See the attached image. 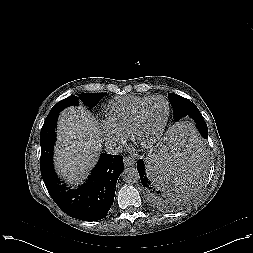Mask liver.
<instances>
[{"instance_id": "6515ba94", "label": "liver", "mask_w": 253, "mask_h": 253, "mask_svg": "<svg viewBox=\"0 0 253 253\" xmlns=\"http://www.w3.org/2000/svg\"><path fill=\"white\" fill-rule=\"evenodd\" d=\"M101 137L94 116L83 107L63 110L57 124L55 167L68 183L78 184L95 165Z\"/></svg>"}]
</instances>
